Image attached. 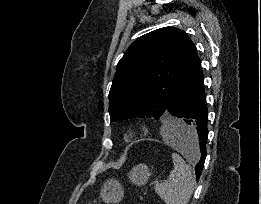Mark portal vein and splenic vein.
<instances>
[{"instance_id": "obj_1", "label": "portal vein and splenic vein", "mask_w": 261, "mask_h": 204, "mask_svg": "<svg viewBox=\"0 0 261 204\" xmlns=\"http://www.w3.org/2000/svg\"><path fill=\"white\" fill-rule=\"evenodd\" d=\"M154 184H155V186H158L159 185V181H155Z\"/></svg>"}]
</instances>
